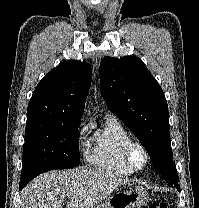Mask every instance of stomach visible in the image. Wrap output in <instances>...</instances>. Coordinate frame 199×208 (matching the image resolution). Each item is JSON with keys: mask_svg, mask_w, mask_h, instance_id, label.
Here are the masks:
<instances>
[{"mask_svg": "<svg viewBox=\"0 0 199 208\" xmlns=\"http://www.w3.org/2000/svg\"><path fill=\"white\" fill-rule=\"evenodd\" d=\"M148 201V192L141 186H129L110 195L95 208H141Z\"/></svg>", "mask_w": 199, "mask_h": 208, "instance_id": "0dacf381", "label": "stomach"}]
</instances>
